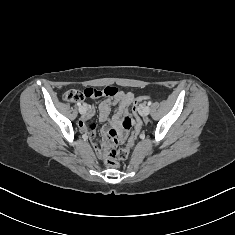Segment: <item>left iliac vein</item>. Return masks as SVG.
<instances>
[{"instance_id":"4c4485c4","label":"left iliac vein","mask_w":235,"mask_h":235,"mask_svg":"<svg viewBox=\"0 0 235 235\" xmlns=\"http://www.w3.org/2000/svg\"><path fill=\"white\" fill-rule=\"evenodd\" d=\"M143 115L147 116L150 113V107L149 106H144L142 109Z\"/></svg>"}]
</instances>
